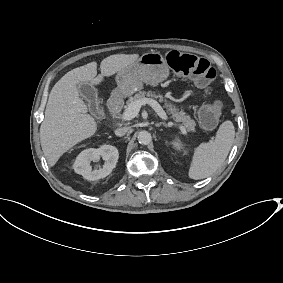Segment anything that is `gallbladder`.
<instances>
[{"mask_svg":"<svg viewBox=\"0 0 283 283\" xmlns=\"http://www.w3.org/2000/svg\"><path fill=\"white\" fill-rule=\"evenodd\" d=\"M78 91L81 96L85 95L89 98V102L92 104L94 110H99L101 108V103L98 101L97 92L94 90V87L88 83L78 84Z\"/></svg>","mask_w":283,"mask_h":283,"instance_id":"bac80fb5","label":"gallbladder"}]
</instances>
